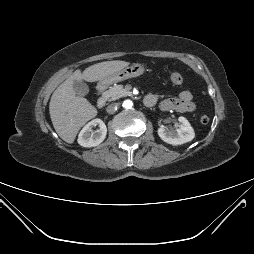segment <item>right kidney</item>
I'll return each mask as SVG.
<instances>
[{"label":"right kidney","mask_w":254,"mask_h":254,"mask_svg":"<svg viewBox=\"0 0 254 254\" xmlns=\"http://www.w3.org/2000/svg\"><path fill=\"white\" fill-rule=\"evenodd\" d=\"M98 126L96 131L93 128ZM107 135L105 123L100 119H93L88 122L78 135V143L83 147H95L102 143Z\"/></svg>","instance_id":"obj_1"}]
</instances>
